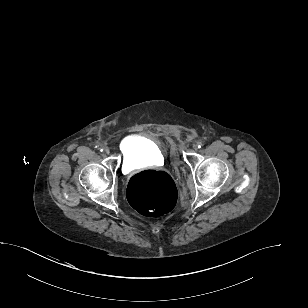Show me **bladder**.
Wrapping results in <instances>:
<instances>
[{
  "label": "bladder",
  "instance_id": "obj_1",
  "mask_svg": "<svg viewBox=\"0 0 308 308\" xmlns=\"http://www.w3.org/2000/svg\"><path fill=\"white\" fill-rule=\"evenodd\" d=\"M123 164L136 168L145 165H156L164 161L160 145L144 135H131L121 145Z\"/></svg>",
  "mask_w": 308,
  "mask_h": 308
}]
</instances>
